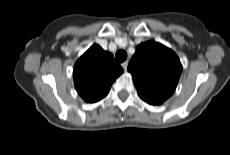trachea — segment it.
<instances>
[{
  "instance_id": "3493384b",
  "label": "trachea",
  "mask_w": 230,
  "mask_h": 155,
  "mask_svg": "<svg viewBox=\"0 0 230 155\" xmlns=\"http://www.w3.org/2000/svg\"><path fill=\"white\" fill-rule=\"evenodd\" d=\"M115 58H116V60L118 61V62H123V61H125L126 60V58H127V53H126V51H124V50H119V51H117V53H116V55H115Z\"/></svg>"
}]
</instances>
